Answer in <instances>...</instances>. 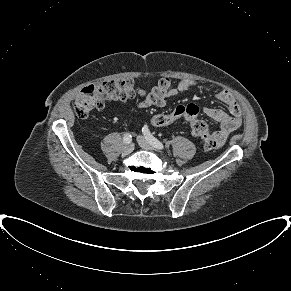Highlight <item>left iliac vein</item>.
Returning a JSON list of instances; mask_svg holds the SVG:
<instances>
[{
  "label": "left iliac vein",
  "mask_w": 291,
  "mask_h": 291,
  "mask_svg": "<svg viewBox=\"0 0 291 291\" xmlns=\"http://www.w3.org/2000/svg\"><path fill=\"white\" fill-rule=\"evenodd\" d=\"M137 142L144 150L148 151L153 150V146L148 142V140L144 136L139 135L137 137Z\"/></svg>",
  "instance_id": "left-iliac-vein-1"
}]
</instances>
